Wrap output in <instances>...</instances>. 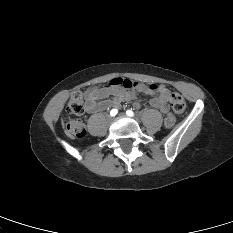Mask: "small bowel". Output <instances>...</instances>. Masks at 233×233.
I'll return each mask as SVG.
<instances>
[{"mask_svg": "<svg viewBox=\"0 0 233 233\" xmlns=\"http://www.w3.org/2000/svg\"><path fill=\"white\" fill-rule=\"evenodd\" d=\"M122 78L113 79L114 82L105 87H91L83 93L86 110L89 113L103 111L112 106H119L122 102L133 101L136 107L140 106L139 94L147 93L153 97L150 99V105L154 108L166 112L165 105L170 98V92L162 85L151 84L145 86L139 84L140 88H127L122 85ZM155 88L151 91L149 87ZM80 95H82L80 93ZM169 114V113H168ZM167 114V115H168Z\"/></svg>", "mask_w": 233, "mask_h": 233, "instance_id": "obj_1", "label": "small bowel"}]
</instances>
